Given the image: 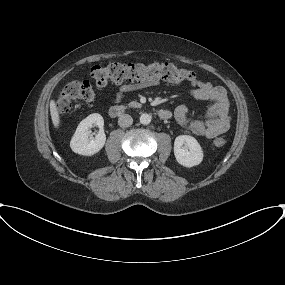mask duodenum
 Returning a JSON list of instances; mask_svg holds the SVG:
<instances>
[{
    "instance_id": "duodenum-1",
    "label": "duodenum",
    "mask_w": 285,
    "mask_h": 285,
    "mask_svg": "<svg viewBox=\"0 0 285 285\" xmlns=\"http://www.w3.org/2000/svg\"><path fill=\"white\" fill-rule=\"evenodd\" d=\"M127 110V106L123 105V104H115L112 105L109 110V116L112 118H117L122 116ZM158 116L160 119H169L171 117V112L167 109L161 108L158 110Z\"/></svg>"
}]
</instances>
